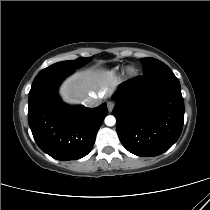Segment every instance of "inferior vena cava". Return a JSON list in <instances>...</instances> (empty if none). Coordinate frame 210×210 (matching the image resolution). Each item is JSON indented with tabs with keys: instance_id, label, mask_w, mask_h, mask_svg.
Masks as SVG:
<instances>
[{
	"instance_id": "602c4592",
	"label": "inferior vena cava",
	"mask_w": 210,
	"mask_h": 210,
	"mask_svg": "<svg viewBox=\"0 0 210 210\" xmlns=\"http://www.w3.org/2000/svg\"><path fill=\"white\" fill-rule=\"evenodd\" d=\"M83 103L85 106L93 107L98 104V100L93 96H88L87 98L84 99Z\"/></svg>"
}]
</instances>
